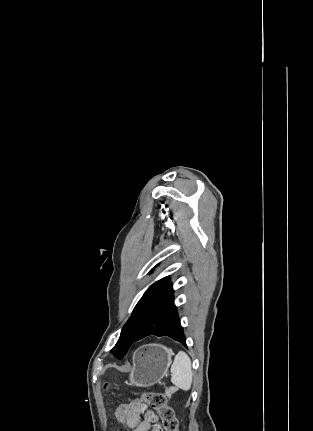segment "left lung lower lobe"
<instances>
[{"label": "left lung lower lobe", "mask_w": 313, "mask_h": 431, "mask_svg": "<svg viewBox=\"0 0 313 431\" xmlns=\"http://www.w3.org/2000/svg\"><path fill=\"white\" fill-rule=\"evenodd\" d=\"M156 335L158 337L168 336L179 341L186 346V338L183 327L180 324L177 308L172 300L161 308L141 329L135 341L141 340L147 336Z\"/></svg>", "instance_id": "1"}]
</instances>
